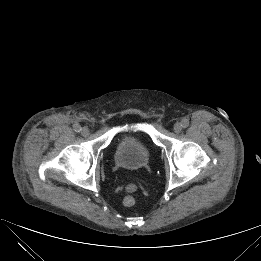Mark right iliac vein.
Returning a JSON list of instances; mask_svg holds the SVG:
<instances>
[{
	"label": "right iliac vein",
	"mask_w": 261,
	"mask_h": 261,
	"mask_svg": "<svg viewBox=\"0 0 261 261\" xmlns=\"http://www.w3.org/2000/svg\"><path fill=\"white\" fill-rule=\"evenodd\" d=\"M88 133H89L88 127H83V128L81 129V134H82L83 136H87Z\"/></svg>",
	"instance_id": "63e3f726"
}]
</instances>
